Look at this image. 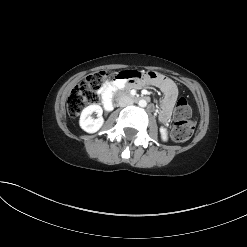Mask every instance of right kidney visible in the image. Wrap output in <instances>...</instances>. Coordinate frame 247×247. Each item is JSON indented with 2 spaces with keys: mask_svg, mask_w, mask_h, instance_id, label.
<instances>
[{
  "mask_svg": "<svg viewBox=\"0 0 247 247\" xmlns=\"http://www.w3.org/2000/svg\"><path fill=\"white\" fill-rule=\"evenodd\" d=\"M93 112L97 113L98 118L93 119L91 117V114ZM102 113H103L102 107L97 104L87 106L86 108L83 109L81 113L79 120L80 127L88 133L97 132L104 123Z\"/></svg>",
  "mask_w": 247,
  "mask_h": 247,
  "instance_id": "right-kidney-1",
  "label": "right kidney"
}]
</instances>
